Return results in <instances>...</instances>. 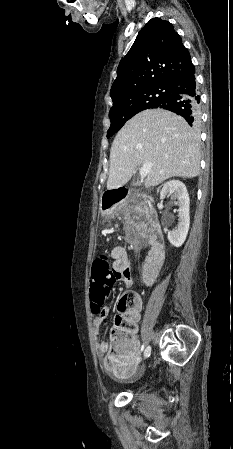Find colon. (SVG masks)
Listing matches in <instances>:
<instances>
[{
	"instance_id": "obj_1",
	"label": "colon",
	"mask_w": 233,
	"mask_h": 449,
	"mask_svg": "<svg viewBox=\"0 0 233 449\" xmlns=\"http://www.w3.org/2000/svg\"><path fill=\"white\" fill-rule=\"evenodd\" d=\"M112 270L106 256L95 259L91 266V307L95 314H99L110 293ZM120 314L114 319L111 331V342L115 352L127 350L132 335L136 334L139 310V298L130 292L124 294L118 303ZM113 363L109 361L107 365Z\"/></svg>"
}]
</instances>
